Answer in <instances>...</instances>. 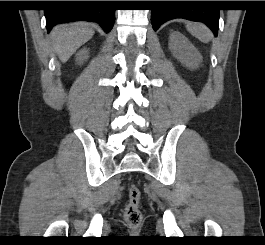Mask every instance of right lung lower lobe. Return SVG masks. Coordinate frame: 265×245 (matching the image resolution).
I'll return each mask as SVG.
<instances>
[{
  "label": "right lung lower lobe",
  "instance_id": "1",
  "mask_svg": "<svg viewBox=\"0 0 265 245\" xmlns=\"http://www.w3.org/2000/svg\"><path fill=\"white\" fill-rule=\"evenodd\" d=\"M45 11L48 32L58 23L86 20L97 22L105 32H110L115 21V10L111 1H57Z\"/></svg>",
  "mask_w": 265,
  "mask_h": 245
}]
</instances>
